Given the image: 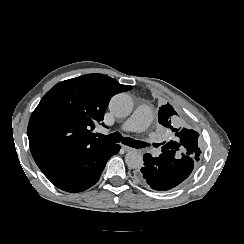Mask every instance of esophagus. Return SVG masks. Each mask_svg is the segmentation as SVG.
I'll use <instances>...</instances> for the list:
<instances>
[{"label": "esophagus", "mask_w": 244, "mask_h": 244, "mask_svg": "<svg viewBox=\"0 0 244 244\" xmlns=\"http://www.w3.org/2000/svg\"><path fill=\"white\" fill-rule=\"evenodd\" d=\"M122 148L124 151L128 152V151H133L134 149L129 147V146H126V145H122Z\"/></svg>", "instance_id": "34e87169"}]
</instances>
